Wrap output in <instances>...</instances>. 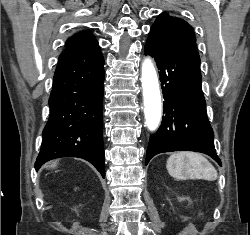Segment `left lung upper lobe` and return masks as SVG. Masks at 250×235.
Masks as SVG:
<instances>
[{"mask_svg":"<svg viewBox=\"0 0 250 235\" xmlns=\"http://www.w3.org/2000/svg\"><path fill=\"white\" fill-rule=\"evenodd\" d=\"M149 36H154L157 39L168 43L181 41L196 42L191 25L183 19L173 17L165 12L157 17L150 29Z\"/></svg>","mask_w":250,"mask_h":235,"instance_id":"5c2ea615","label":"left lung upper lobe"}]
</instances>
